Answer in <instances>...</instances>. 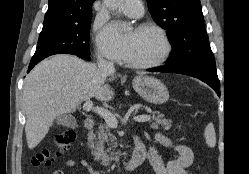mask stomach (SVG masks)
I'll use <instances>...</instances> for the list:
<instances>
[{"label":"stomach","mask_w":249,"mask_h":174,"mask_svg":"<svg viewBox=\"0 0 249 174\" xmlns=\"http://www.w3.org/2000/svg\"><path fill=\"white\" fill-rule=\"evenodd\" d=\"M133 88L146 101L163 104L169 99L166 86L154 77L140 75L133 80Z\"/></svg>","instance_id":"obj_1"}]
</instances>
